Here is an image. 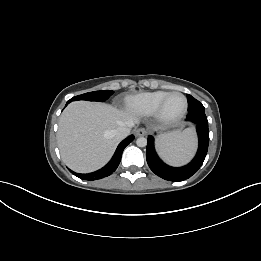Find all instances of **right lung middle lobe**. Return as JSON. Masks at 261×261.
Wrapping results in <instances>:
<instances>
[{
	"label": "right lung middle lobe",
	"mask_w": 261,
	"mask_h": 261,
	"mask_svg": "<svg viewBox=\"0 0 261 261\" xmlns=\"http://www.w3.org/2000/svg\"><path fill=\"white\" fill-rule=\"evenodd\" d=\"M113 94V91L104 90V91H93L89 93H85L82 95H78L73 97L69 102L76 100H87V101H105Z\"/></svg>",
	"instance_id": "obj_1"
}]
</instances>
